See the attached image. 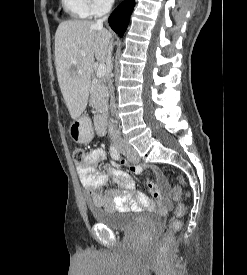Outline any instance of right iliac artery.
<instances>
[{
    "label": "right iliac artery",
    "instance_id": "82829eb1",
    "mask_svg": "<svg viewBox=\"0 0 247 275\" xmlns=\"http://www.w3.org/2000/svg\"><path fill=\"white\" fill-rule=\"evenodd\" d=\"M111 157L115 160H118L120 158V154L115 148V146H111L110 148Z\"/></svg>",
    "mask_w": 247,
    "mask_h": 275
}]
</instances>
